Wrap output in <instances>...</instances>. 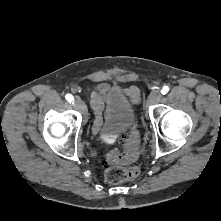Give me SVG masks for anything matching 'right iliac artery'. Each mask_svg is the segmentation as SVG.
<instances>
[{"instance_id": "1", "label": "right iliac artery", "mask_w": 221, "mask_h": 221, "mask_svg": "<svg viewBox=\"0 0 221 221\" xmlns=\"http://www.w3.org/2000/svg\"><path fill=\"white\" fill-rule=\"evenodd\" d=\"M65 99L69 102V103H74V97L71 94H66L65 95Z\"/></svg>"}]
</instances>
